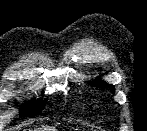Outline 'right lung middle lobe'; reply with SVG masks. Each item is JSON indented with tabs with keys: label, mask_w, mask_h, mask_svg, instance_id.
I'll return each instance as SVG.
<instances>
[{
	"label": "right lung middle lobe",
	"mask_w": 147,
	"mask_h": 131,
	"mask_svg": "<svg viewBox=\"0 0 147 131\" xmlns=\"http://www.w3.org/2000/svg\"><path fill=\"white\" fill-rule=\"evenodd\" d=\"M45 103V100L32 101V104L23 107L20 116H30L41 112L45 106Z\"/></svg>",
	"instance_id": "dd1d6c3e"
}]
</instances>
